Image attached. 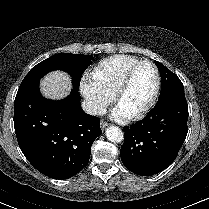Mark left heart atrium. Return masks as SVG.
Wrapping results in <instances>:
<instances>
[{"label": "left heart atrium", "mask_w": 209, "mask_h": 209, "mask_svg": "<svg viewBox=\"0 0 209 209\" xmlns=\"http://www.w3.org/2000/svg\"><path fill=\"white\" fill-rule=\"evenodd\" d=\"M131 116V113L118 106L114 111V117L119 120L127 119Z\"/></svg>", "instance_id": "left-heart-atrium-1"}]
</instances>
